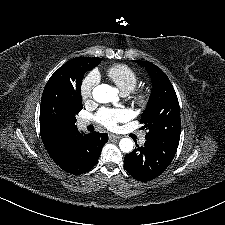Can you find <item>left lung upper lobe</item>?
<instances>
[{
  "mask_svg": "<svg viewBox=\"0 0 225 225\" xmlns=\"http://www.w3.org/2000/svg\"><path fill=\"white\" fill-rule=\"evenodd\" d=\"M145 67L152 79V93L140 123L147 129L146 140L162 141L178 147L181 119L175 90L166 74L147 61H135Z\"/></svg>",
  "mask_w": 225,
  "mask_h": 225,
  "instance_id": "5c2ea615",
  "label": "left lung upper lobe"
}]
</instances>
